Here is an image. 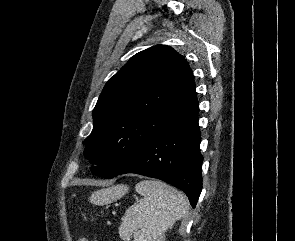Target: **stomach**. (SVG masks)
<instances>
[{"label":"stomach","instance_id":"0dacf381","mask_svg":"<svg viewBox=\"0 0 295 241\" xmlns=\"http://www.w3.org/2000/svg\"><path fill=\"white\" fill-rule=\"evenodd\" d=\"M128 191L123 185L112 186L110 188L101 189L94 192L90 197V202L95 205H103L117 200Z\"/></svg>","mask_w":295,"mask_h":241}]
</instances>
